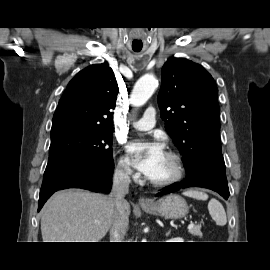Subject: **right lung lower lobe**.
Wrapping results in <instances>:
<instances>
[{
	"label": "right lung lower lobe",
	"instance_id": "obj_1",
	"mask_svg": "<svg viewBox=\"0 0 270 270\" xmlns=\"http://www.w3.org/2000/svg\"><path fill=\"white\" fill-rule=\"evenodd\" d=\"M114 166L100 169L85 156L71 158L46 167L40 190L38 211L56 191L82 188L94 192L109 193Z\"/></svg>",
	"mask_w": 270,
	"mask_h": 270
}]
</instances>
